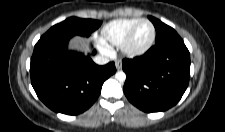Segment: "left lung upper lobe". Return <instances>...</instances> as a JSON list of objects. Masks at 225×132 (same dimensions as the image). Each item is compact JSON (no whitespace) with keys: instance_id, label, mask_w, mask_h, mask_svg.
Listing matches in <instances>:
<instances>
[{"instance_id":"left-lung-upper-lobe-1","label":"left lung upper lobe","mask_w":225,"mask_h":132,"mask_svg":"<svg viewBox=\"0 0 225 132\" xmlns=\"http://www.w3.org/2000/svg\"><path fill=\"white\" fill-rule=\"evenodd\" d=\"M150 17L151 16H149V19H150ZM154 26H155V29H156L155 44L156 43H160L162 41L173 39L175 37H179V35L177 34V32L173 28H171L170 26L164 24L161 21L156 23V24H154Z\"/></svg>"}]
</instances>
